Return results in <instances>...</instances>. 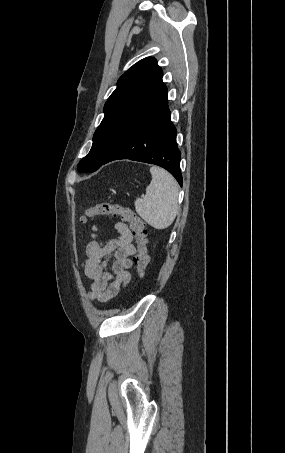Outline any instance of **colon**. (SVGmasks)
Masks as SVG:
<instances>
[{
  "label": "colon",
  "instance_id": "5ec220e1",
  "mask_svg": "<svg viewBox=\"0 0 285 453\" xmlns=\"http://www.w3.org/2000/svg\"><path fill=\"white\" fill-rule=\"evenodd\" d=\"M105 215L120 217L130 224L138 247V253L133 258L136 274L139 278H143L150 262L147 249V228L145 222L135 214L132 208L109 202H101L87 208L84 211L81 220L82 222H86L93 217Z\"/></svg>",
  "mask_w": 285,
  "mask_h": 453
}]
</instances>
